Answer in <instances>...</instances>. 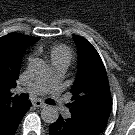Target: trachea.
I'll list each match as a JSON object with an SVG mask.
<instances>
[{"instance_id": "obj_1", "label": "trachea", "mask_w": 135, "mask_h": 135, "mask_svg": "<svg viewBox=\"0 0 135 135\" xmlns=\"http://www.w3.org/2000/svg\"><path fill=\"white\" fill-rule=\"evenodd\" d=\"M28 98H29V96L27 94H21L20 95V99H22V100H27ZM45 102L47 104H50V105H54L55 104L54 100H52V99H47Z\"/></svg>"}]
</instances>
